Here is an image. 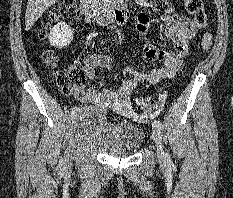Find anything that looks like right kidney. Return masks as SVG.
I'll return each instance as SVG.
<instances>
[{
    "mask_svg": "<svg viewBox=\"0 0 233 198\" xmlns=\"http://www.w3.org/2000/svg\"><path fill=\"white\" fill-rule=\"evenodd\" d=\"M72 39L73 31L65 22L58 23L50 30L49 42L58 49L69 45Z\"/></svg>",
    "mask_w": 233,
    "mask_h": 198,
    "instance_id": "obj_1",
    "label": "right kidney"
}]
</instances>
